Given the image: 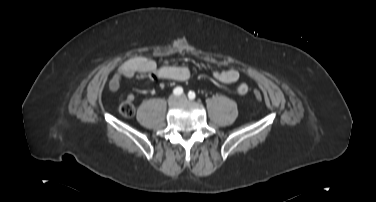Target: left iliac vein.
Wrapping results in <instances>:
<instances>
[{
    "mask_svg": "<svg viewBox=\"0 0 376 202\" xmlns=\"http://www.w3.org/2000/svg\"><path fill=\"white\" fill-rule=\"evenodd\" d=\"M178 100H181V101L186 100V96L185 95H181V96L178 97Z\"/></svg>",
    "mask_w": 376,
    "mask_h": 202,
    "instance_id": "1",
    "label": "left iliac vein"
}]
</instances>
